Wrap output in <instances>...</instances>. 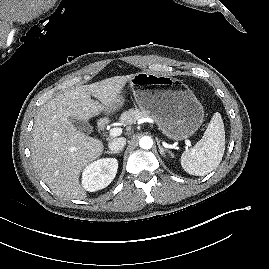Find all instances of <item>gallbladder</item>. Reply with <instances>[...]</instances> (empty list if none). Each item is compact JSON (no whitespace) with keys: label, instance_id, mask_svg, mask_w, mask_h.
<instances>
[{"label":"gallbladder","instance_id":"obj_1","mask_svg":"<svg viewBox=\"0 0 269 269\" xmlns=\"http://www.w3.org/2000/svg\"><path fill=\"white\" fill-rule=\"evenodd\" d=\"M70 121L77 130L85 134H90L92 132V127L88 122L77 118H70Z\"/></svg>","mask_w":269,"mask_h":269}]
</instances>
